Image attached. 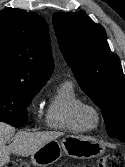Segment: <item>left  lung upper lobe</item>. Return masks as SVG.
<instances>
[{
	"label": "left lung upper lobe",
	"instance_id": "1",
	"mask_svg": "<svg viewBox=\"0 0 125 167\" xmlns=\"http://www.w3.org/2000/svg\"><path fill=\"white\" fill-rule=\"evenodd\" d=\"M53 26L80 87L101 109L108 135L125 142V75L104 28L84 11L57 12Z\"/></svg>",
	"mask_w": 125,
	"mask_h": 167
}]
</instances>
